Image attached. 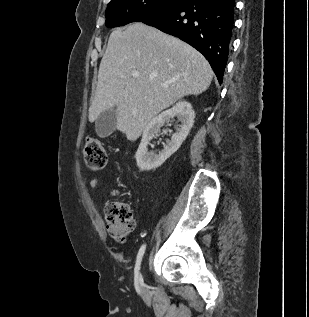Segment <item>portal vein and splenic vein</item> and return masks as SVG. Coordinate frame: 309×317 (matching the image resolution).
<instances>
[{
	"instance_id": "obj_1",
	"label": "portal vein and splenic vein",
	"mask_w": 309,
	"mask_h": 317,
	"mask_svg": "<svg viewBox=\"0 0 309 317\" xmlns=\"http://www.w3.org/2000/svg\"><path fill=\"white\" fill-rule=\"evenodd\" d=\"M132 76L136 78V77L139 76V73H138V72H133V73H132Z\"/></svg>"
}]
</instances>
